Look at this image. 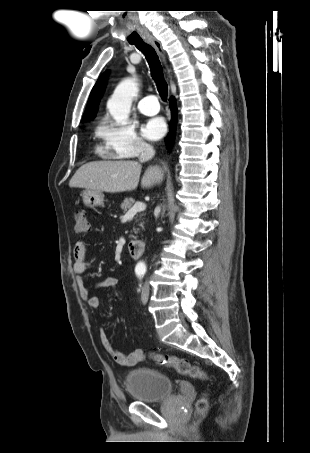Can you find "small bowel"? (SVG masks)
Segmentation results:
<instances>
[{
    "label": "small bowel",
    "mask_w": 310,
    "mask_h": 453,
    "mask_svg": "<svg viewBox=\"0 0 310 453\" xmlns=\"http://www.w3.org/2000/svg\"><path fill=\"white\" fill-rule=\"evenodd\" d=\"M88 249L84 242H77L73 250V272L76 276V282L79 290L80 297L87 301L92 309L100 307V299L97 296L90 295V290L86 287L84 282V275L90 266L88 260ZM118 279L113 276H108L93 285L94 289L103 288H116ZM100 342L106 353L119 365L124 367H132L145 359V352L142 349H135L134 351L125 354L114 347L109 340L104 329L99 330Z\"/></svg>",
    "instance_id": "obj_1"
}]
</instances>
